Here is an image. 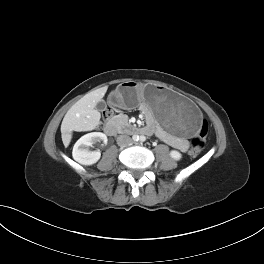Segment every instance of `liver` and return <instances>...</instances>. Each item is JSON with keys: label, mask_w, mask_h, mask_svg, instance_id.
<instances>
[{"label": "liver", "mask_w": 264, "mask_h": 264, "mask_svg": "<svg viewBox=\"0 0 264 264\" xmlns=\"http://www.w3.org/2000/svg\"><path fill=\"white\" fill-rule=\"evenodd\" d=\"M107 87L87 93L78 100L66 113L61 124L62 141L68 147L72 139V131H91L100 124L101 114L96 105L102 100Z\"/></svg>", "instance_id": "1"}]
</instances>
